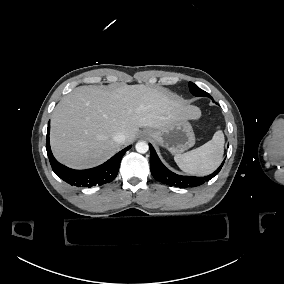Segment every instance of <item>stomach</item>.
<instances>
[{"instance_id": "0dacf381", "label": "stomach", "mask_w": 284, "mask_h": 284, "mask_svg": "<svg viewBox=\"0 0 284 284\" xmlns=\"http://www.w3.org/2000/svg\"><path fill=\"white\" fill-rule=\"evenodd\" d=\"M145 138H152L171 154H180L195 144V136L188 120L181 119L165 128L142 131Z\"/></svg>"}]
</instances>
